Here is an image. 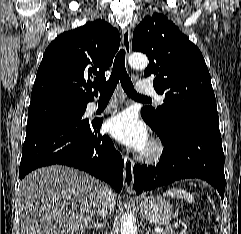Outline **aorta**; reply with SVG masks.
<instances>
[{
	"label": "aorta",
	"instance_id": "obj_1",
	"mask_svg": "<svg viewBox=\"0 0 241 234\" xmlns=\"http://www.w3.org/2000/svg\"><path fill=\"white\" fill-rule=\"evenodd\" d=\"M129 65L136 69H145L148 65V58L140 53H133L128 59ZM121 234H137L135 219L132 214L125 213L121 220Z\"/></svg>",
	"mask_w": 241,
	"mask_h": 234
}]
</instances>
